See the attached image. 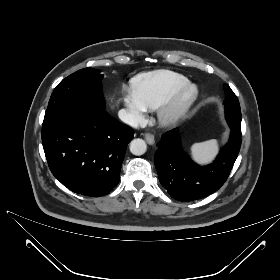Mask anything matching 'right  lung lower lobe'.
I'll list each match as a JSON object with an SVG mask.
<instances>
[{
	"label": "right lung lower lobe",
	"instance_id": "98d812e1",
	"mask_svg": "<svg viewBox=\"0 0 280 280\" xmlns=\"http://www.w3.org/2000/svg\"><path fill=\"white\" fill-rule=\"evenodd\" d=\"M131 127L104 109L63 108L44 117L42 144L52 174L69 190L92 197L119 183Z\"/></svg>",
	"mask_w": 280,
	"mask_h": 280
}]
</instances>
